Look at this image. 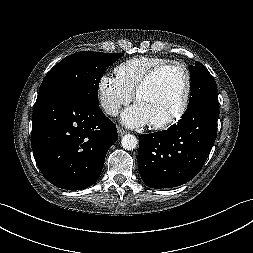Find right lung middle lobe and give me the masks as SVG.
<instances>
[{
	"label": "right lung middle lobe",
	"mask_w": 253,
	"mask_h": 253,
	"mask_svg": "<svg viewBox=\"0 0 253 253\" xmlns=\"http://www.w3.org/2000/svg\"><path fill=\"white\" fill-rule=\"evenodd\" d=\"M122 55L83 51L67 56L47 73L37 99L59 94L89 105H98L99 81L107 67Z\"/></svg>",
	"instance_id": "dd1d6c3e"
}]
</instances>
